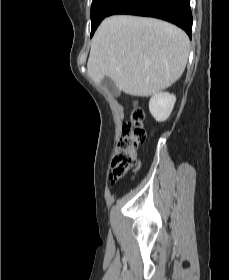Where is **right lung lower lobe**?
<instances>
[{
	"label": "right lung lower lobe",
	"mask_w": 229,
	"mask_h": 280,
	"mask_svg": "<svg viewBox=\"0 0 229 280\" xmlns=\"http://www.w3.org/2000/svg\"><path fill=\"white\" fill-rule=\"evenodd\" d=\"M132 14L155 17L182 28L191 38L190 0H115L106 16Z\"/></svg>",
	"instance_id": "obj_1"
}]
</instances>
